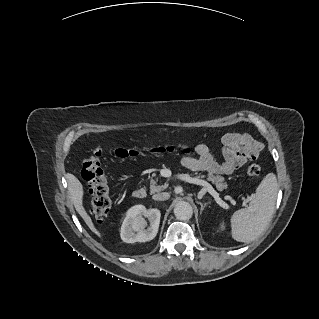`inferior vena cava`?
<instances>
[{
	"label": "inferior vena cava",
	"instance_id": "inferior-vena-cava-1",
	"mask_svg": "<svg viewBox=\"0 0 319 319\" xmlns=\"http://www.w3.org/2000/svg\"><path fill=\"white\" fill-rule=\"evenodd\" d=\"M169 197H170V194L167 192L156 193L152 196L153 200H156V201H164L169 199Z\"/></svg>",
	"mask_w": 319,
	"mask_h": 319
}]
</instances>
